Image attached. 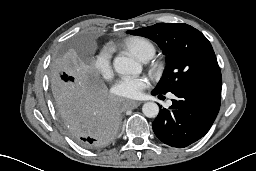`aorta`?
<instances>
[{
  "label": "aorta",
  "instance_id": "762f6f07",
  "mask_svg": "<svg viewBox=\"0 0 256 171\" xmlns=\"http://www.w3.org/2000/svg\"><path fill=\"white\" fill-rule=\"evenodd\" d=\"M114 69L122 75H136L142 71V66L134 59L126 56H117L113 61ZM143 114L148 118H154L159 113V106L155 102H146L142 107Z\"/></svg>",
  "mask_w": 256,
  "mask_h": 171
}]
</instances>
